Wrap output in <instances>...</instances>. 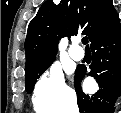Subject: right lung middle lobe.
Masks as SVG:
<instances>
[{
  "instance_id": "dd1d6c3e",
  "label": "right lung middle lobe",
  "mask_w": 121,
  "mask_h": 113,
  "mask_svg": "<svg viewBox=\"0 0 121 113\" xmlns=\"http://www.w3.org/2000/svg\"><path fill=\"white\" fill-rule=\"evenodd\" d=\"M55 60V56L49 57L38 63L36 66L25 70V87L28 93H31L36 80Z\"/></svg>"
}]
</instances>
